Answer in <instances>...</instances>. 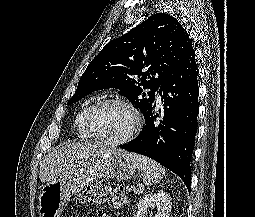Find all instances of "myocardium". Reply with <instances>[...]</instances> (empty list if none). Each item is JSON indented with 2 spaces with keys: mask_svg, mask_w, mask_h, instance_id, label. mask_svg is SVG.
I'll use <instances>...</instances> for the list:
<instances>
[{
  "mask_svg": "<svg viewBox=\"0 0 255 217\" xmlns=\"http://www.w3.org/2000/svg\"><path fill=\"white\" fill-rule=\"evenodd\" d=\"M107 104L122 105L128 108L134 116V125L131 128V130L124 137L117 140H109V139L103 138L101 135H99L96 132V130L94 129L92 125V115L94 111L97 108ZM84 121H85V126L88 132L91 134V136L95 138L96 140L100 141L101 143L109 145V146H120V145H124L128 143L137 135V133L140 131L143 125L142 115L140 111L138 110V108L131 101L124 98H119V97L105 98L90 105L85 113Z\"/></svg>",
  "mask_w": 255,
  "mask_h": 217,
  "instance_id": "1",
  "label": "myocardium"
}]
</instances>
